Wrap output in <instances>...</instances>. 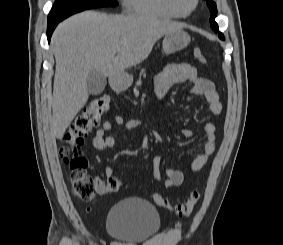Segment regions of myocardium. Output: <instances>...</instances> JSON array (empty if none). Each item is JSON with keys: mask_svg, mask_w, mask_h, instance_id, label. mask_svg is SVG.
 I'll use <instances>...</instances> for the list:
<instances>
[{"mask_svg": "<svg viewBox=\"0 0 283 245\" xmlns=\"http://www.w3.org/2000/svg\"><path fill=\"white\" fill-rule=\"evenodd\" d=\"M199 0H174L176 10L182 15L187 17L197 8Z\"/></svg>", "mask_w": 283, "mask_h": 245, "instance_id": "f54148a6", "label": "myocardium"}]
</instances>
